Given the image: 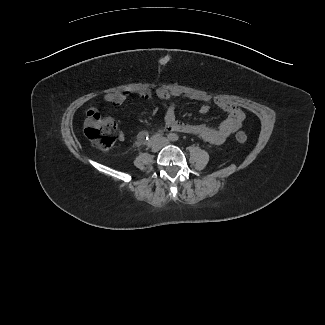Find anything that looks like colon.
<instances>
[{"label": "colon", "mask_w": 325, "mask_h": 325, "mask_svg": "<svg viewBox=\"0 0 325 325\" xmlns=\"http://www.w3.org/2000/svg\"><path fill=\"white\" fill-rule=\"evenodd\" d=\"M117 126L113 119L102 117L98 112L88 114L84 126V133L96 148L107 150L111 148L116 140ZM240 143L247 141L244 132H238L235 136Z\"/></svg>", "instance_id": "5ec220e1"}]
</instances>
